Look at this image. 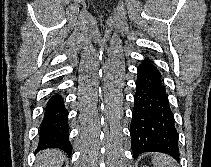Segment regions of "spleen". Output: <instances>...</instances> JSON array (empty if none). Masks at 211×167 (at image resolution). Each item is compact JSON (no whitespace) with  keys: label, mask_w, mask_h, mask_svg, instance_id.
Wrapping results in <instances>:
<instances>
[{"label":"spleen","mask_w":211,"mask_h":167,"mask_svg":"<svg viewBox=\"0 0 211 167\" xmlns=\"http://www.w3.org/2000/svg\"><path fill=\"white\" fill-rule=\"evenodd\" d=\"M154 167H177L176 162L168 155L155 153L152 158Z\"/></svg>","instance_id":"1"}]
</instances>
